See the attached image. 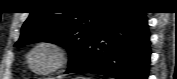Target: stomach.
I'll return each mask as SVG.
<instances>
[{
    "mask_svg": "<svg viewBox=\"0 0 177 79\" xmlns=\"http://www.w3.org/2000/svg\"><path fill=\"white\" fill-rule=\"evenodd\" d=\"M75 79H82V77H76Z\"/></svg>",
    "mask_w": 177,
    "mask_h": 79,
    "instance_id": "0dacf381",
    "label": "stomach"
}]
</instances>
